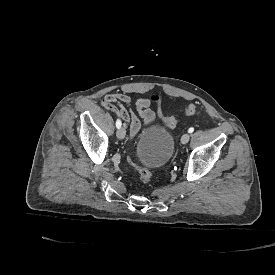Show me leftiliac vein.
<instances>
[{
	"label": "left iliac vein",
	"mask_w": 275,
	"mask_h": 275,
	"mask_svg": "<svg viewBox=\"0 0 275 275\" xmlns=\"http://www.w3.org/2000/svg\"><path fill=\"white\" fill-rule=\"evenodd\" d=\"M189 140H190V135H189L188 133H185V134L181 137V143H182V144L188 143Z\"/></svg>",
	"instance_id": "left-iliac-vein-1"
}]
</instances>
